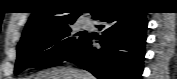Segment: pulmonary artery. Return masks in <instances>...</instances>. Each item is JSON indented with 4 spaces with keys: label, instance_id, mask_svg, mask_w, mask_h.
Masks as SVG:
<instances>
[{
    "label": "pulmonary artery",
    "instance_id": "pulmonary-artery-1",
    "mask_svg": "<svg viewBox=\"0 0 177 79\" xmlns=\"http://www.w3.org/2000/svg\"><path fill=\"white\" fill-rule=\"evenodd\" d=\"M89 23H90V21L89 20H85V22H84V25H89Z\"/></svg>",
    "mask_w": 177,
    "mask_h": 79
}]
</instances>
